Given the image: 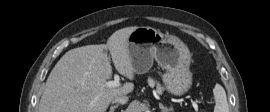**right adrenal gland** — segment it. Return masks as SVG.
Segmentation results:
<instances>
[{"mask_svg": "<svg viewBox=\"0 0 270 112\" xmlns=\"http://www.w3.org/2000/svg\"><path fill=\"white\" fill-rule=\"evenodd\" d=\"M119 106V104H116L114 106L110 107V110L108 112H114V110Z\"/></svg>", "mask_w": 270, "mask_h": 112, "instance_id": "2a0ac1e0", "label": "right adrenal gland"}]
</instances>
